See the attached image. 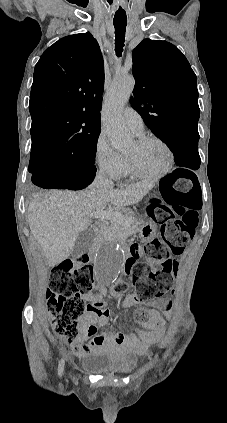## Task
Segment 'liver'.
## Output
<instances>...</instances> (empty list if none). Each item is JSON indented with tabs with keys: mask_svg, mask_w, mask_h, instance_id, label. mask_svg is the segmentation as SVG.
<instances>
[{
	"mask_svg": "<svg viewBox=\"0 0 227 423\" xmlns=\"http://www.w3.org/2000/svg\"><path fill=\"white\" fill-rule=\"evenodd\" d=\"M152 188L150 182H137L125 190H104L94 182L82 192L50 190L37 194L28 204L30 231L54 267L69 257L79 233L92 225L96 210L139 204Z\"/></svg>",
	"mask_w": 227,
	"mask_h": 423,
	"instance_id": "liver-1",
	"label": "liver"
}]
</instances>
